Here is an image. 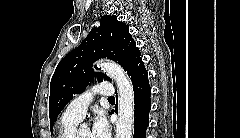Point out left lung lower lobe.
Instances as JSON below:
<instances>
[{
	"mask_svg": "<svg viewBox=\"0 0 240 138\" xmlns=\"http://www.w3.org/2000/svg\"><path fill=\"white\" fill-rule=\"evenodd\" d=\"M127 74L131 78L134 89V138H146V130L149 125V112L151 109V88L141 53H138L133 59L127 70ZM113 112L114 111L111 113Z\"/></svg>",
	"mask_w": 240,
	"mask_h": 138,
	"instance_id": "0a47b994",
	"label": "left lung lower lobe"
}]
</instances>
